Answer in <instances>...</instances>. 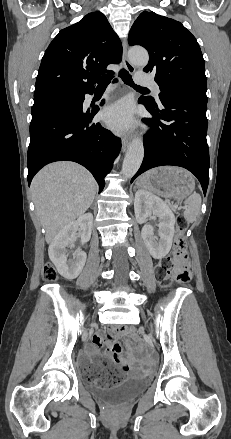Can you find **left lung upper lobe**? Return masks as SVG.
Here are the masks:
<instances>
[{"instance_id": "obj_1", "label": "left lung upper lobe", "mask_w": 231, "mask_h": 439, "mask_svg": "<svg viewBox=\"0 0 231 439\" xmlns=\"http://www.w3.org/2000/svg\"><path fill=\"white\" fill-rule=\"evenodd\" d=\"M128 43L148 50L149 63L144 71L155 74L160 94L177 89L206 92L201 49L195 37L180 22L144 11L134 22ZM148 100L155 102L151 97Z\"/></svg>"}]
</instances>
